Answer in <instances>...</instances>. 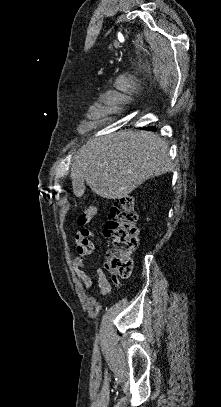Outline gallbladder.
<instances>
[{"instance_id": "bac80fb5", "label": "gallbladder", "mask_w": 221, "mask_h": 407, "mask_svg": "<svg viewBox=\"0 0 221 407\" xmlns=\"http://www.w3.org/2000/svg\"><path fill=\"white\" fill-rule=\"evenodd\" d=\"M72 185L75 194H80L84 190V180H74Z\"/></svg>"}]
</instances>
